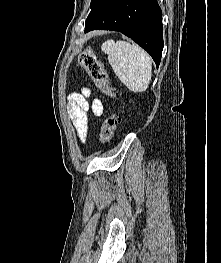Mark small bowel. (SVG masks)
<instances>
[{"instance_id":"small-bowel-1","label":"small bowel","mask_w":221,"mask_h":263,"mask_svg":"<svg viewBox=\"0 0 221 263\" xmlns=\"http://www.w3.org/2000/svg\"><path fill=\"white\" fill-rule=\"evenodd\" d=\"M90 90L83 88L81 92L71 93L69 95L68 112L76 128L77 136L82 143H85L88 133V111L95 116H101L103 113V104L100 100H94L92 104L88 103Z\"/></svg>"}]
</instances>
